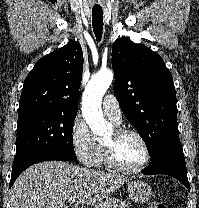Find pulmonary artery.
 Segmentation results:
<instances>
[{
	"label": "pulmonary artery",
	"mask_w": 199,
	"mask_h": 208,
	"mask_svg": "<svg viewBox=\"0 0 199 208\" xmlns=\"http://www.w3.org/2000/svg\"><path fill=\"white\" fill-rule=\"evenodd\" d=\"M102 107L107 117L116 125L122 121L119 103L113 94H108L102 101Z\"/></svg>",
	"instance_id": "obj_1"
}]
</instances>
